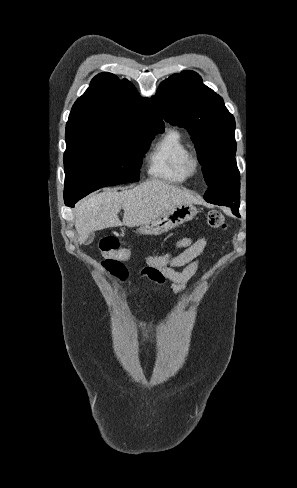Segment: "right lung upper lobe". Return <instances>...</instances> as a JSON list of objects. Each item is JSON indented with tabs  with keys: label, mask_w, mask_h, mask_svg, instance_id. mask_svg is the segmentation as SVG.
I'll list each match as a JSON object with an SVG mask.
<instances>
[{
	"label": "right lung upper lobe",
	"mask_w": 297,
	"mask_h": 488,
	"mask_svg": "<svg viewBox=\"0 0 297 488\" xmlns=\"http://www.w3.org/2000/svg\"><path fill=\"white\" fill-rule=\"evenodd\" d=\"M142 126L165 128L150 99L141 98L130 81L104 72L93 78L73 105L65 138L73 143L125 135Z\"/></svg>",
	"instance_id": "cb5924a9"
}]
</instances>
